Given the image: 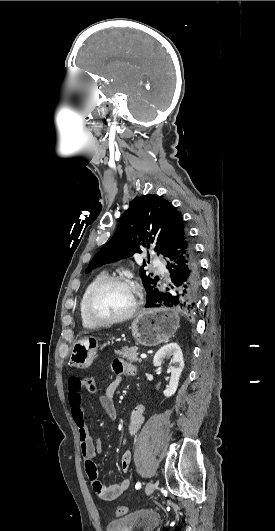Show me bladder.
<instances>
[{"instance_id": "1", "label": "bladder", "mask_w": 275, "mask_h": 531, "mask_svg": "<svg viewBox=\"0 0 275 531\" xmlns=\"http://www.w3.org/2000/svg\"><path fill=\"white\" fill-rule=\"evenodd\" d=\"M161 517L153 511L130 512L120 519L110 521L107 531H155Z\"/></svg>"}]
</instances>
